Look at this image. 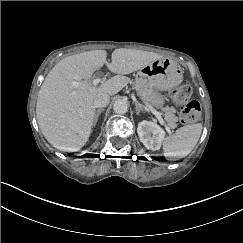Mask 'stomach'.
Masks as SVG:
<instances>
[{"instance_id":"stomach-1","label":"stomach","mask_w":243,"mask_h":243,"mask_svg":"<svg viewBox=\"0 0 243 243\" xmlns=\"http://www.w3.org/2000/svg\"><path fill=\"white\" fill-rule=\"evenodd\" d=\"M182 79L183 71L178 64L168 59H157L137 72L135 88L144 102L162 108L165 98L160 92L179 85Z\"/></svg>"}]
</instances>
